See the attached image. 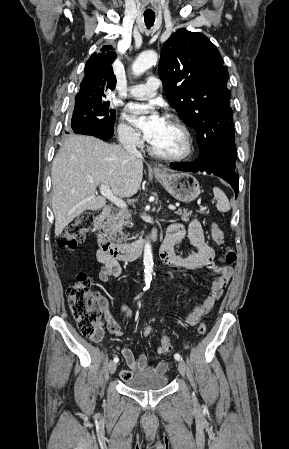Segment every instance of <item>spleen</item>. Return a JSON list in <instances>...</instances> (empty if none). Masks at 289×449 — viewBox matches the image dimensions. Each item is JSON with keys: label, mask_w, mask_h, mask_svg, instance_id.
Instances as JSON below:
<instances>
[{"label": "spleen", "mask_w": 289, "mask_h": 449, "mask_svg": "<svg viewBox=\"0 0 289 449\" xmlns=\"http://www.w3.org/2000/svg\"><path fill=\"white\" fill-rule=\"evenodd\" d=\"M214 197L217 200V209L220 212H227L230 210V203L225 193L218 187L213 188Z\"/></svg>", "instance_id": "1"}]
</instances>
